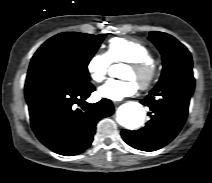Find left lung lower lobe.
I'll list each match as a JSON object with an SVG mask.
<instances>
[{
    "instance_id": "1",
    "label": "left lung lower lobe",
    "mask_w": 212,
    "mask_h": 183,
    "mask_svg": "<svg viewBox=\"0 0 212 183\" xmlns=\"http://www.w3.org/2000/svg\"><path fill=\"white\" fill-rule=\"evenodd\" d=\"M194 87L192 69L157 84L141 101L150 108L151 119L139 130H123L124 141L142 151H155L171 142L185 123Z\"/></svg>"
}]
</instances>
